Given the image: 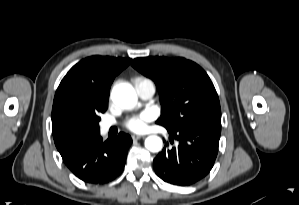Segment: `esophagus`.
I'll return each mask as SVG.
<instances>
[{"label":"esophagus","mask_w":299,"mask_h":205,"mask_svg":"<svg viewBox=\"0 0 299 205\" xmlns=\"http://www.w3.org/2000/svg\"><path fill=\"white\" fill-rule=\"evenodd\" d=\"M141 138H143V136H141V135H132L133 141H137V140H139Z\"/></svg>","instance_id":"obj_1"}]
</instances>
